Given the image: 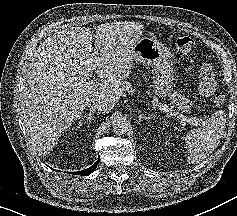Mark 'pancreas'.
Returning <instances> with one entry per match:
<instances>
[{"label":"pancreas","instance_id":"1","mask_svg":"<svg viewBox=\"0 0 237 216\" xmlns=\"http://www.w3.org/2000/svg\"><path fill=\"white\" fill-rule=\"evenodd\" d=\"M163 99L167 102H170V101H174V102H177L178 103V107H180V109L184 112H187L191 109L192 107V104L189 100L187 99H184L183 96L181 94H177L170 90V89H167L163 92Z\"/></svg>","mask_w":237,"mask_h":216}]
</instances>
